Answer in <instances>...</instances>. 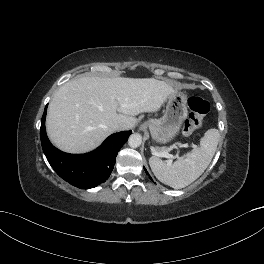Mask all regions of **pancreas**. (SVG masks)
Wrapping results in <instances>:
<instances>
[{"label":"pancreas","instance_id":"1","mask_svg":"<svg viewBox=\"0 0 264 264\" xmlns=\"http://www.w3.org/2000/svg\"><path fill=\"white\" fill-rule=\"evenodd\" d=\"M159 151H166V149L165 148H160V149H158Z\"/></svg>","mask_w":264,"mask_h":264}]
</instances>
